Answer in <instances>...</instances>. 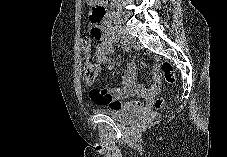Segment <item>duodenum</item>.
<instances>
[{
	"mask_svg": "<svg viewBox=\"0 0 227 157\" xmlns=\"http://www.w3.org/2000/svg\"><path fill=\"white\" fill-rule=\"evenodd\" d=\"M110 8V0H99L97 4H93V9H95L97 16H88V21H91L92 32H112L109 23L106 21V16Z\"/></svg>",
	"mask_w": 227,
	"mask_h": 157,
	"instance_id": "1",
	"label": "duodenum"
}]
</instances>
